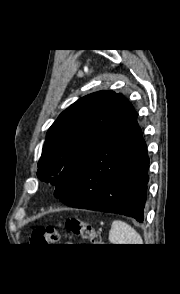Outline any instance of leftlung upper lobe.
<instances>
[{
  "label": "left lung upper lobe",
  "instance_id": "left-lung-upper-lobe-1",
  "mask_svg": "<svg viewBox=\"0 0 180 294\" xmlns=\"http://www.w3.org/2000/svg\"><path fill=\"white\" fill-rule=\"evenodd\" d=\"M131 104L113 91L80 98L63 111L47 132L38 177L55 185V197L67 196L87 163Z\"/></svg>",
  "mask_w": 180,
  "mask_h": 294
}]
</instances>
